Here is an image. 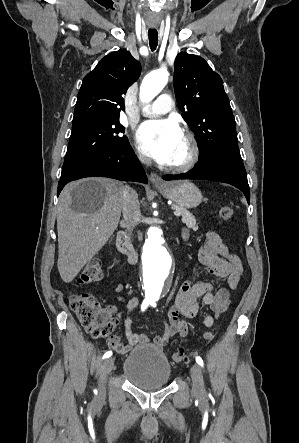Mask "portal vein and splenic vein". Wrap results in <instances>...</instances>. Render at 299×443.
Returning <instances> with one entry per match:
<instances>
[{
    "label": "portal vein and splenic vein",
    "instance_id": "portal-vein-and-splenic-vein-1",
    "mask_svg": "<svg viewBox=\"0 0 299 443\" xmlns=\"http://www.w3.org/2000/svg\"><path fill=\"white\" fill-rule=\"evenodd\" d=\"M174 215L179 217V216H181V212L176 210V211H174Z\"/></svg>",
    "mask_w": 299,
    "mask_h": 443
}]
</instances>
